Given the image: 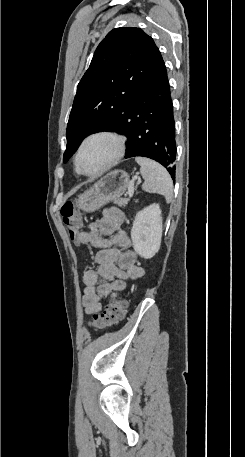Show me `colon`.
I'll return each instance as SVG.
<instances>
[{"instance_id": "1", "label": "colon", "mask_w": 245, "mask_h": 457, "mask_svg": "<svg viewBox=\"0 0 245 457\" xmlns=\"http://www.w3.org/2000/svg\"><path fill=\"white\" fill-rule=\"evenodd\" d=\"M61 216L70 238L76 241L81 232V220L73 202H66L62 206ZM126 307L127 301L125 299L116 300L107 305L102 313L93 314L88 326L97 330L112 327L124 318Z\"/></svg>"}]
</instances>
